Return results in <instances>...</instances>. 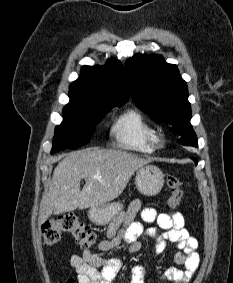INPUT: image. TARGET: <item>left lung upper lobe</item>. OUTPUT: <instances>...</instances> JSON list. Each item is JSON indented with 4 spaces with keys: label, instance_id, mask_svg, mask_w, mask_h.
<instances>
[{
    "label": "left lung upper lobe",
    "instance_id": "1",
    "mask_svg": "<svg viewBox=\"0 0 233 283\" xmlns=\"http://www.w3.org/2000/svg\"><path fill=\"white\" fill-rule=\"evenodd\" d=\"M126 69L136 105L155 121L170 125L181 136V144L198 147L190 124L187 84L177 66L166 63L161 55L136 54L127 60Z\"/></svg>",
    "mask_w": 233,
    "mask_h": 283
}]
</instances>
